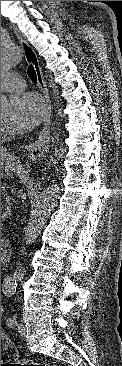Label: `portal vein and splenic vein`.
<instances>
[{
    "mask_svg": "<svg viewBox=\"0 0 122 366\" xmlns=\"http://www.w3.org/2000/svg\"><path fill=\"white\" fill-rule=\"evenodd\" d=\"M5 200H6V201H9V200H10V197H9V196H7V197L5 198Z\"/></svg>",
    "mask_w": 122,
    "mask_h": 366,
    "instance_id": "1",
    "label": "portal vein and splenic vein"
}]
</instances>
